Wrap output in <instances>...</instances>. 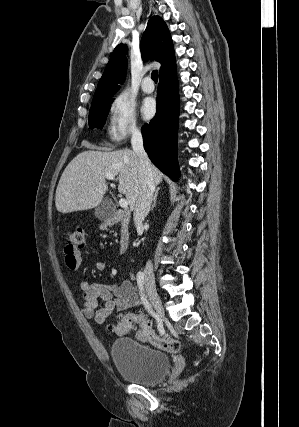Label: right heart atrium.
Returning a JSON list of instances; mask_svg holds the SVG:
<instances>
[{
  "mask_svg": "<svg viewBox=\"0 0 299 427\" xmlns=\"http://www.w3.org/2000/svg\"><path fill=\"white\" fill-rule=\"evenodd\" d=\"M107 133L114 143H120L128 136L139 132L135 103L124 91L115 94L107 106Z\"/></svg>",
  "mask_w": 299,
  "mask_h": 427,
  "instance_id": "right-heart-atrium-1",
  "label": "right heart atrium"
}]
</instances>
